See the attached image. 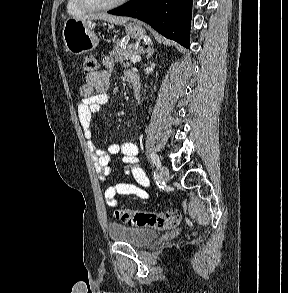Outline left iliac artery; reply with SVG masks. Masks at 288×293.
Here are the masks:
<instances>
[{"label":"left iliac artery","instance_id":"obj_1","mask_svg":"<svg viewBox=\"0 0 288 293\" xmlns=\"http://www.w3.org/2000/svg\"><path fill=\"white\" fill-rule=\"evenodd\" d=\"M150 158H151L152 162H153L157 167H160L161 163H160L159 157H158L154 152H152V153L150 154Z\"/></svg>","mask_w":288,"mask_h":293}]
</instances>
